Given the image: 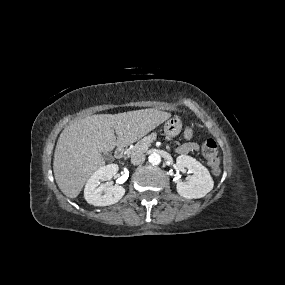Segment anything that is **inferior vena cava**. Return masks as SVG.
<instances>
[{"label": "inferior vena cava", "mask_w": 285, "mask_h": 285, "mask_svg": "<svg viewBox=\"0 0 285 285\" xmlns=\"http://www.w3.org/2000/svg\"><path fill=\"white\" fill-rule=\"evenodd\" d=\"M145 161V155L143 154H136L131 157V163L134 165H139Z\"/></svg>", "instance_id": "602c4592"}]
</instances>
